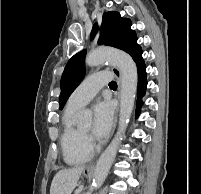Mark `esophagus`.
Instances as JSON below:
<instances>
[{"mask_svg": "<svg viewBox=\"0 0 201 194\" xmlns=\"http://www.w3.org/2000/svg\"><path fill=\"white\" fill-rule=\"evenodd\" d=\"M112 71L114 72V74L116 75L117 79H118V84H119V87H118V99L120 97V81H121V73L119 71L118 68L116 67H112ZM118 113H119V106L117 107V110H116V114H115V118H114V124H113V129H112V133L111 135L114 133V130L116 128V124H117V120H118ZM94 167V163H91L87 169H92Z\"/></svg>", "mask_w": 201, "mask_h": 194, "instance_id": "34e87169", "label": "esophagus"}]
</instances>
